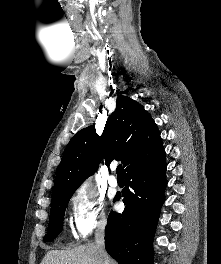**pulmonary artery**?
<instances>
[{
  "mask_svg": "<svg viewBox=\"0 0 221 264\" xmlns=\"http://www.w3.org/2000/svg\"><path fill=\"white\" fill-rule=\"evenodd\" d=\"M114 170V168H113ZM109 185L112 187L118 186V180L115 175H110L108 178Z\"/></svg>",
  "mask_w": 221,
  "mask_h": 264,
  "instance_id": "pulmonary-artery-1",
  "label": "pulmonary artery"
}]
</instances>
